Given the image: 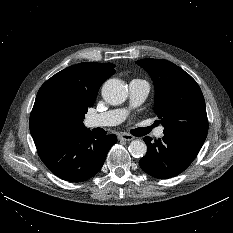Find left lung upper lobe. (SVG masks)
<instances>
[{
    "label": "left lung upper lobe",
    "mask_w": 233,
    "mask_h": 233,
    "mask_svg": "<svg viewBox=\"0 0 233 233\" xmlns=\"http://www.w3.org/2000/svg\"><path fill=\"white\" fill-rule=\"evenodd\" d=\"M155 86L154 111L164 134H188L206 138L208 119L202 91L196 81L177 65L162 59L136 61Z\"/></svg>",
    "instance_id": "left-lung-upper-lobe-1"
}]
</instances>
